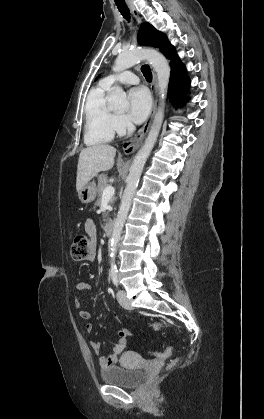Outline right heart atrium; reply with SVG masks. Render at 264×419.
<instances>
[{"mask_svg": "<svg viewBox=\"0 0 264 419\" xmlns=\"http://www.w3.org/2000/svg\"><path fill=\"white\" fill-rule=\"evenodd\" d=\"M114 131L121 135L132 129V124L128 117L124 114L117 113L113 119Z\"/></svg>", "mask_w": 264, "mask_h": 419, "instance_id": "d8ad5b80", "label": "right heart atrium"}]
</instances>
